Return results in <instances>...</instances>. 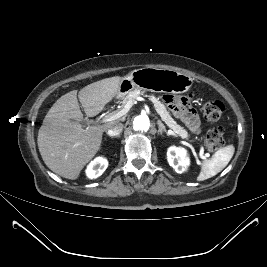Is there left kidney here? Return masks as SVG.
<instances>
[{"instance_id": "left-kidney-1", "label": "left kidney", "mask_w": 267, "mask_h": 267, "mask_svg": "<svg viewBox=\"0 0 267 267\" xmlns=\"http://www.w3.org/2000/svg\"><path fill=\"white\" fill-rule=\"evenodd\" d=\"M167 160L169 165L180 174L186 171L187 166L189 165L187 151L181 147H170L167 152Z\"/></svg>"}]
</instances>
